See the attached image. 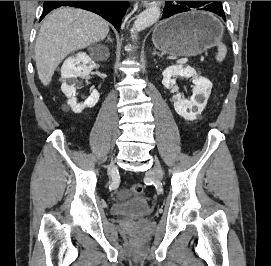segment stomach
<instances>
[{"label": "stomach", "mask_w": 271, "mask_h": 266, "mask_svg": "<svg viewBox=\"0 0 271 266\" xmlns=\"http://www.w3.org/2000/svg\"><path fill=\"white\" fill-rule=\"evenodd\" d=\"M222 34V25L212 14L190 11L158 23L152 41L163 53L195 56L213 47Z\"/></svg>", "instance_id": "stomach-1"}]
</instances>
